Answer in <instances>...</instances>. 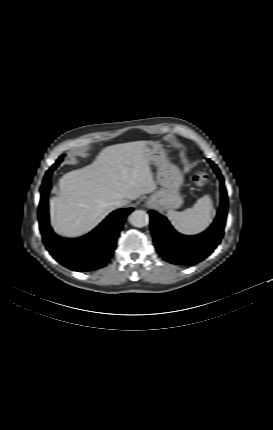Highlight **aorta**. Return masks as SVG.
<instances>
[{"label": "aorta", "mask_w": 273, "mask_h": 430, "mask_svg": "<svg viewBox=\"0 0 273 430\" xmlns=\"http://www.w3.org/2000/svg\"><path fill=\"white\" fill-rule=\"evenodd\" d=\"M129 220L133 226L141 228L149 224V215L143 210H135L130 215Z\"/></svg>", "instance_id": "762f6f07"}]
</instances>
